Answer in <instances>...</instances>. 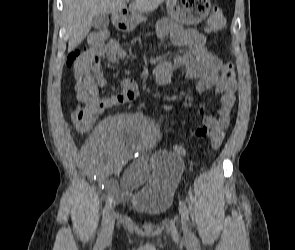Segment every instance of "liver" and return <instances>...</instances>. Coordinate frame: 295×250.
Masks as SVG:
<instances>
[{
  "label": "liver",
  "mask_w": 295,
  "mask_h": 250,
  "mask_svg": "<svg viewBox=\"0 0 295 250\" xmlns=\"http://www.w3.org/2000/svg\"><path fill=\"white\" fill-rule=\"evenodd\" d=\"M164 0H133L131 12H152ZM127 0H64L63 14L69 35L68 50L75 49L91 30L94 16L117 13L127 8Z\"/></svg>",
  "instance_id": "obj_1"
}]
</instances>
